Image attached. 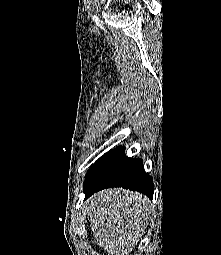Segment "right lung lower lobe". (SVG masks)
Masks as SVG:
<instances>
[{
	"label": "right lung lower lobe",
	"mask_w": 221,
	"mask_h": 255,
	"mask_svg": "<svg viewBox=\"0 0 221 255\" xmlns=\"http://www.w3.org/2000/svg\"><path fill=\"white\" fill-rule=\"evenodd\" d=\"M110 187L136 190L149 198L154 193L152 178L144 171L143 161L125 157L122 146L106 153L91 166L85 178L84 193L88 198Z\"/></svg>",
	"instance_id": "98d812e1"
}]
</instances>
